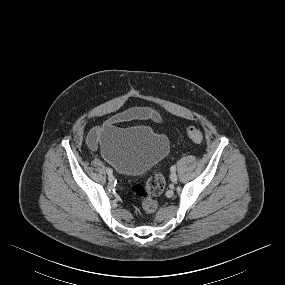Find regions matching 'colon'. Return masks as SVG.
<instances>
[{
	"label": "colon",
	"mask_w": 285,
	"mask_h": 285,
	"mask_svg": "<svg viewBox=\"0 0 285 285\" xmlns=\"http://www.w3.org/2000/svg\"><path fill=\"white\" fill-rule=\"evenodd\" d=\"M185 132L187 137L195 143H200L203 140V133L197 127L188 126ZM164 187V178L161 175H154L145 184L133 185L130 191L133 196L141 201L144 211L153 213L158 206L156 197L163 192Z\"/></svg>",
	"instance_id": "colon-1"
}]
</instances>
